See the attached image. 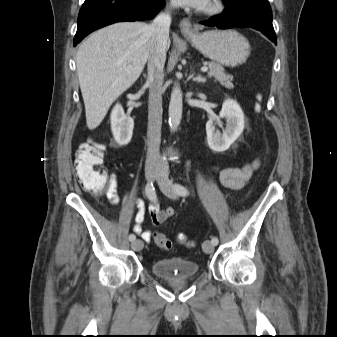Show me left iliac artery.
<instances>
[{
    "label": "left iliac artery",
    "mask_w": 337,
    "mask_h": 337,
    "mask_svg": "<svg viewBox=\"0 0 337 337\" xmlns=\"http://www.w3.org/2000/svg\"><path fill=\"white\" fill-rule=\"evenodd\" d=\"M174 190L177 194L181 195V196H187L189 194V191L186 187H184L183 185L181 184H175L174 185ZM211 242L214 244V245H217L218 244V238L217 237H213L211 239Z\"/></svg>",
    "instance_id": "1"
}]
</instances>
